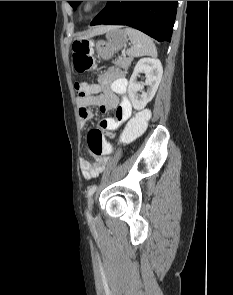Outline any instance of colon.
<instances>
[{"label":"colon","instance_id":"5ec220e1","mask_svg":"<svg viewBox=\"0 0 233 295\" xmlns=\"http://www.w3.org/2000/svg\"><path fill=\"white\" fill-rule=\"evenodd\" d=\"M73 63L77 72L84 73L91 71L94 67V60L91 55V43L88 40L75 41L72 46ZM78 96L96 94L99 86L94 83L78 82L75 84ZM150 112L146 109L140 110L127 123L122 135V142L129 143L140 136L146 129ZM113 136V132L108 134ZM89 152L93 156L107 155L111 152V145L105 140L104 133L98 128L91 129L87 136Z\"/></svg>","mask_w":233,"mask_h":295}]
</instances>
